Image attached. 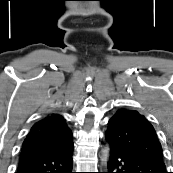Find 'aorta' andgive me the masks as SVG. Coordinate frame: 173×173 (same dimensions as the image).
Returning <instances> with one entry per match:
<instances>
[{"instance_id":"762f6f07","label":"aorta","mask_w":173,"mask_h":173,"mask_svg":"<svg viewBox=\"0 0 173 173\" xmlns=\"http://www.w3.org/2000/svg\"><path fill=\"white\" fill-rule=\"evenodd\" d=\"M108 159H109V148L106 147L102 152V161L107 163Z\"/></svg>"}]
</instances>
